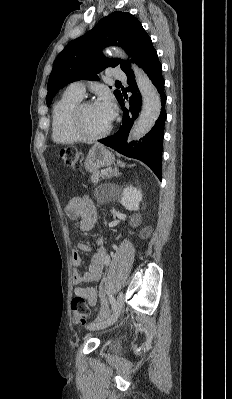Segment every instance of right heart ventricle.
I'll return each instance as SVG.
<instances>
[{
  "label": "right heart ventricle",
  "mask_w": 232,
  "mask_h": 399,
  "mask_svg": "<svg viewBox=\"0 0 232 399\" xmlns=\"http://www.w3.org/2000/svg\"><path fill=\"white\" fill-rule=\"evenodd\" d=\"M82 97L65 94L52 107L51 136L55 143L72 146L79 142L69 128V117L73 108L81 101Z\"/></svg>",
  "instance_id": "right-heart-ventricle-1"
}]
</instances>
